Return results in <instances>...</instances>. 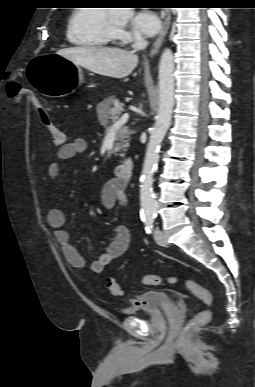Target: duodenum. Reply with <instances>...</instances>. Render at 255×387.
Segmentation results:
<instances>
[{
    "label": "duodenum",
    "mask_w": 255,
    "mask_h": 387,
    "mask_svg": "<svg viewBox=\"0 0 255 387\" xmlns=\"http://www.w3.org/2000/svg\"><path fill=\"white\" fill-rule=\"evenodd\" d=\"M133 172L134 162L131 157L126 158L115 168L116 176L120 178L123 182H128L132 178Z\"/></svg>",
    "instance_id": "410a0bca"
}]
</instances>
